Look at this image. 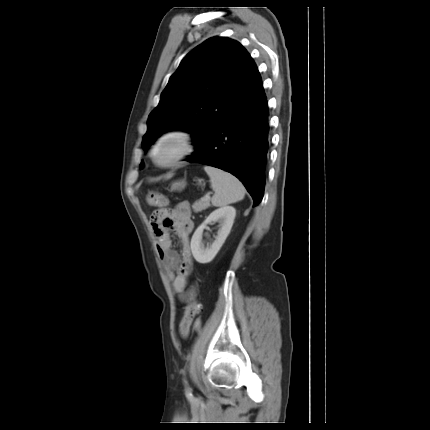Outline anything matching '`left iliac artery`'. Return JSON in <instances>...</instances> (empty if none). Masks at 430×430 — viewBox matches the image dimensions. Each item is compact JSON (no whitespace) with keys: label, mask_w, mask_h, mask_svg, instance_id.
Instances as JSON below:
<instances>
[{"label":"left iliac artery","mask_w":430,"mask_h":430,"mask_svg":"<svg viewBox=\"0 0 430 430\" xmlns=\"http://www.w3.org/2000/svg\"><path fill=\"white\" fill-rule=\"evenodd\" d=\"M195 329H196V331H197V332H201V329H202V328H201V326H200V323H197V326H196V328H195ZM183 373H184V371H183Z\"/></svg>","instance_id":"left-iliac-artery-1"}]
</instances>
